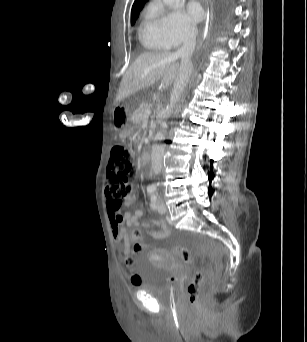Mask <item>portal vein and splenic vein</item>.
<instances>
[{"instance_id":"obj_1","label":"portal vein and splenic vein","mask_w":307,"mask_h":342,"mask_svg":"<svg viewBox=\"0 0 307 342\" xmlns=\"http://www.w3.org/2000/svg\"><path fill=\"white\" fill-rule=\"evenodd\" d=\"M148 114H149V110H146L145 117H148Z\"/></svg>"}]
</instances>
